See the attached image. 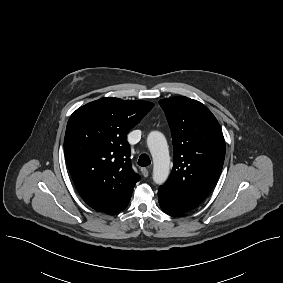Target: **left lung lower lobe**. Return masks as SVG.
I'll list each match as a JSON object with an SVG mask.
<instances>
[{"instance_id": "obj_1", "label": "left lung lower lobe", "mask_w": 283, "mask_h": 283, "mask_svg": "<svg viewBox=\"0 0 283 283\" xmlns=\"http://www.w3.org/2000/svg\"><path fill=\"white\" fill-rule=\"evenodd\" d=\"M158 200L162 210L172 216H179L184 214L185 210L179 208L172 200V197L164 190L159 188L158 190Z\"/></svg>"}]
</instances>
